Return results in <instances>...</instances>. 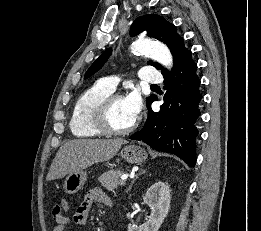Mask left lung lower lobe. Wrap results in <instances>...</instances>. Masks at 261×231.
<instances>
[{
	"label": "left lung lower lobe",
	"mask_w": 261,
	"mask_h": 231,
	"mask_svg": "<svg viewBox=\"0 0 261 231\" xmlns=\"http://www.w3.org/2000/svg\"><path fill=\"white\" fill-rule=\"evenodd\" d=\"M197 64L191 54L187 55L172 72L164 74L167 93L160 112L147 106L145 126L130 139L143 141L155 150L174 154L188 166L196 164L197 121L201 113L202 99L200 80L196 74Z\"/></svg>",
	"instance_id": "left-lung-lower-lobe-1"
}]
</instances>
